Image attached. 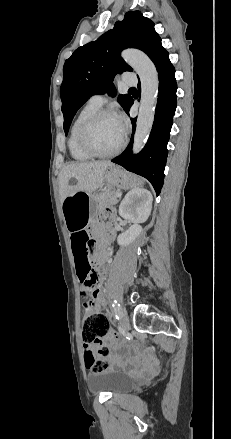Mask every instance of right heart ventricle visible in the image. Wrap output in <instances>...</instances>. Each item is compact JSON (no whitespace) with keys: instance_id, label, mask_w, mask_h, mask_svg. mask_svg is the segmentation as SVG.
Listing matches in <instances>:
<instances>
[{"instance_id":"right-heart-ventricle-1","label":"right heart ventricle","mask_w":231,"mask_h":439,"mask_svg":"<svg viewBox=\"0 0 231 439\" xmlns=\"http://www.w3.org/2000/svg\"><path fill=\"white\" fill-rule=\"evenodd\" d=\"M98 109L99 106L88 102L77 113L76 117L74 118L71 124L68 139H67V146L71 157L77 161H87L91 159V156L87 154L79 145L78 132L82 123Z\"/></svg>"}]
</instances>
